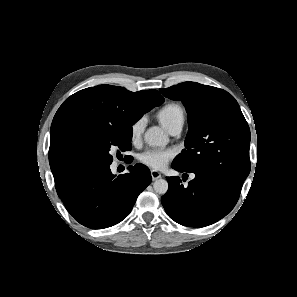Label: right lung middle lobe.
Here are the masks:
<instances>
[{
    "mask_svg": "<svg viewBox=\"0 0 297 297\" xmlns=\"http://www.w3.org/2000/svg\"><path fill=\"white\" fill-rule=\"evenodd\" d=\"M155 105L146 104L144 112L150 111ZM132 126L103 127L83 133L74 145V156L81 170L110 165L113 161L110 147L116 146L121 151L131 149Z\"/></svg>",
    "mask_w": 297,
    "mask_h": 297,
    "instance_id": "dd1d6c3e",
    "label": "right lung middle lobe"
}]
</instances>
